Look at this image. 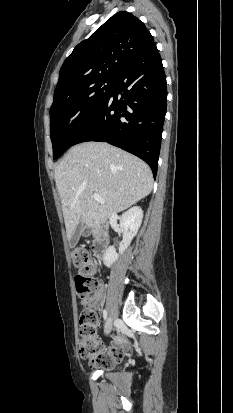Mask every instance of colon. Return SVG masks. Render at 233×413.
I'll return each mask as SVG.
<instances>
[{"instance_id": "obj_1", "label": "colon", "mask_w": 233, "mask_h": 413, "mask_svg": "<svg viewBox=\"0 0 233 413\" xmlns=\"http://www.w3.org/2000/svg\"><path fill=\"white\" fill-rule=\"evenodd\" d=\"M72 261L78 272L75 276V287L81 298L87 297L98 286L96 274L97 264L92 260L91 253L85 248H77L72 251ZM97 315L94 308L88 307L82 311L79 318V353L84 359L102 367H109L121 359V355H100V344L97 340Z\"/></svg>"}]
</instances>
